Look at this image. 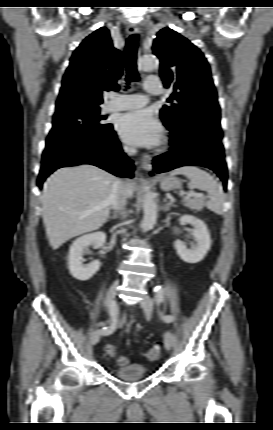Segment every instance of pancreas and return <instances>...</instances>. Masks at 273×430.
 <instances>
[{
  "mask_svg": "<svg viewBox=\"0 0 273 430\" xmlns=\"http://www.w3.org/2000/svg\"><path fill=\"white\" fill-rule=\"evenodd\" d=\"M203 201V198H197L193 200L188 199L185 203V206L193 210L201 211L203 208Z\"/></svg>",
  "mask_w": 273,
  "mask_h": 430,
  "instance_id": "pancreas-1",
  "label": "pancreas"
}]
</instances>
